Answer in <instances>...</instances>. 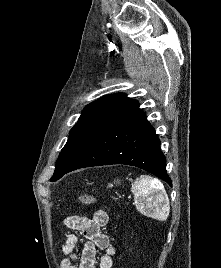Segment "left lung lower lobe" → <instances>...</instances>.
<instances>
[{
    "mask_svg": "<svg viewBox=\"0 0 221 268\" xmlns=\"http://www.w3.org/2000/svg\"><path fill=\"white\" fill-rule=\"evenodd\" d=\"M110 164L142 168L172 186L160 140L146 114L139 108L124 114L104 129L62 176L79 168Z\"/></svg>",
    "mask_w": 221,
    "mask_h": 268,
    "instance_id": "0a47b994",
    "label": "left lung lower lobe"
}]
</instances>
